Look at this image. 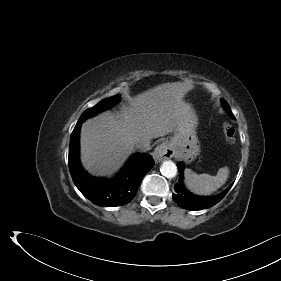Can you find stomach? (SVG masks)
Segmentation results:
<instances>
[{"label":"stomach","mask_w":281,"mask_h":281,"mask_svg":"<svg viewBox=\"0 0 281 281\" xmlns=\"http://www.w3.org/2000/svg\"><path fill=\"white\" fill-rule=\"evenodd\" d=\"M197 116L190 109L187 118L177 127L168 145L173 154L186 162H191L200 153V144L196 135Z\"/></svg>","instance_id":"1"}]
</instances>
